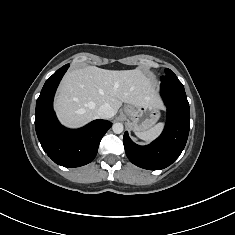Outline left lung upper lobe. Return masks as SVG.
<instances>
[{
  "label": "left lung upper lobe",
  "instance_id": "obj_1",
  "mask_svg": "<svg viewBox=\"0 0 235 235\" xmlns=\"http://www.w3.org/2000/svg\"><path fill=\"white\" fill-rule=\"evenodd\" d=\"M162 77L163 78H170V79H178L176 77V75L170 69H165V75Z\"/></svg>",
  "mask_w": 235,
  "mask_h": 235
}]
</instances>
